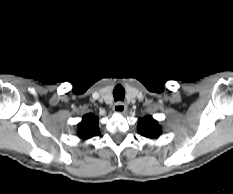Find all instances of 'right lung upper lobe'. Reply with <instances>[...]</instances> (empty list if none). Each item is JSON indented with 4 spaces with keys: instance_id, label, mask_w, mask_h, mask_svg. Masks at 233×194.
<instances>
[{
    "instance_id": "cb5924a9",
    "label": "right lung upper lobe",
    "mask_w": 233,
    "mask_h": 194,
    "mask_svg": "<svg viewBox=\"0 0 233 194\" xmlns=\"http://www.w3.org/2000/svg\"><path fill=\"white\" fill-rule=\"evenodd\" d=\"M98 135H100V130L97 117L92 114L85 115L82 121L78 124L79 138L86 140Z\"/></svg>"
}]
</instances>
